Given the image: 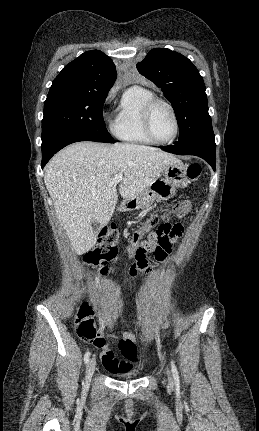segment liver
Returning a JSON list of instances; mask_svg holds the SVG:
<instances>
[{
	"label": "liver",
	"mask_w": 259,
	"mask_h": 431,
	"mask_svg": "<svg viewBox=\"0 0 259 431\" xmlns=\"http://www.w3.org/2000/svg\"><path fill=\"white\" fill-rule=\"evenodd\" d=\"M177 162L172 154L128 143L78 142L58 152L45 167L44 182L74 252L95 246L93 221L100 228L110 221L118 200L116 174L123 175L119 192L127 202Z\"/></svg>",
	"instance_id": "6515ba94"
}]
</instances>
